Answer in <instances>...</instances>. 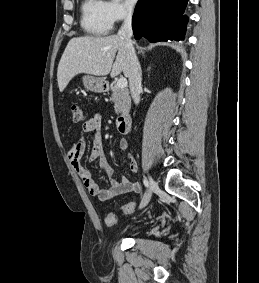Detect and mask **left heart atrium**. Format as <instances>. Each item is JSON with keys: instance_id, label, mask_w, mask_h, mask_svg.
I'll list each match as a JSON object with an SVG mask.
<instances>
[{"instance_id": "left-heart-atrium-1", "label": "left heart atrium", "mask_w": 259, "mask_h": 283, "mask_svg": "<svg viewBox=\"0 0 259 283\" xmlns=\"http://www.w3.org/2000/svg\"><path fill=\"white\" fill-rule=\"evenodd\" d=\"M132 3L136 2L137 0H130Z\"/></svg>"}]
</instances>
